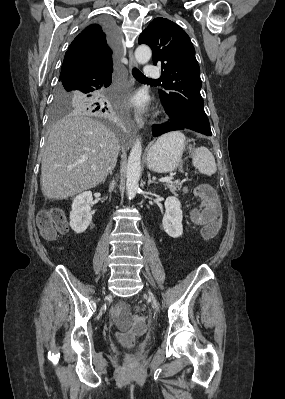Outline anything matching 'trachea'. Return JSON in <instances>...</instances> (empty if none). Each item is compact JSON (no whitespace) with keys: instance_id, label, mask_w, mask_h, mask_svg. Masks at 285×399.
<instances>
[{"instance_id":"obj_1","label":"trachea","mask_w":285,"mask_h":399,"mask_svg":"<svg viewBox=\"0 0 285 399\" xmlns=\"http://www.w3.org/2000/svg\"><path fill=\"white\" fill-rule=\"evenodd\" d=\"M132 73H133L134 78L138 81L158 82V80L149 79V78L145 77L144 74L141 73L137 68H133Z\"/></svg>"}]
</instances>
